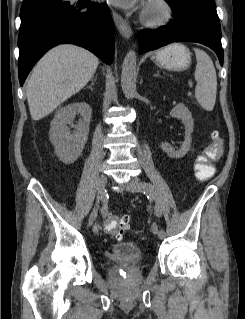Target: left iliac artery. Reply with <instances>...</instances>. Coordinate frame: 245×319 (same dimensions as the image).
<instances>
[{"label": "left iliac artery", "mask_w": 245, "mask_h": 319, "mask_svg": "<svg viewBox=\"0 0 245 319\" xmlns=\"http://www.w3.org/2000/svg\"><path fill=\"white\" fill-rule=\"evenodd\" d=\"M140 189L143 191L144 194L147 195L148 199H151V200L155 199V193L153 190V186L150 183H147V182L140 183ZM155 215L157 217L161 216V209H160V206L158 204L155 206ZM159 232L163 237H165L166 233L163 229H161Z\"/></svg>", "instance_id": "44dca946"}]
</instances>
